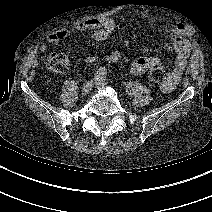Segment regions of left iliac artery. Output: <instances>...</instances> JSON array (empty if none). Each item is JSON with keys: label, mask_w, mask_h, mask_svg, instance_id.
<instances>
[{"label": "left iliac artery", "mask_w": 212, "mask_h": 212, "mask_svg": "<svg viewBox=\"0 0 212 212\" xmlns=\"http://www.w3.org/2000/svg\"><path fill=\"white\" fill-rule=\"evenodd\" d=\"M102 80L104 81V82H107L108 81V79H107V77H102Z\"/></svg>", "instance_id": "left-iliac-artery-1"}]
</instances>
